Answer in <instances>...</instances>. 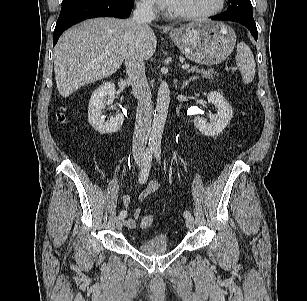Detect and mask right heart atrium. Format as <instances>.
Here are the masks:
<instances>
[{"instance_id":"1","label":"right heart atrium","mask_w":307,"mask_h":301,"mask_svg":"<svg viewBox=\"0 0 307 301\" xmlns=\"http://www.w3.org/2000/svg\"><path fill=\"white\" fill-rule=\"evenodd\" d=\"M138 8L146 13H153L155 11V6L153 0H138Z\"/></svg>"}]
</instances>
